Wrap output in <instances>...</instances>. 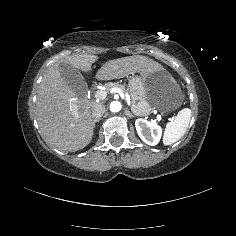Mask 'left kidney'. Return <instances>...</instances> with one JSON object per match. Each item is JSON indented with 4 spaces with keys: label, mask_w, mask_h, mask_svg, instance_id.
<instances>
[{
    "label": "left kidney",
    "mask_w": 236,
    "mask_h": 236,
    "mask_svg": "<svg viewBox=\"0 0 236 236\" xmlns=\"http://www.w3.org/2000/svg\"><path fill=\"white\" fill-rule=\"evenodd\" d=\"M135 127L141 140L147 145L155 146L159 143L162 129L159 125L139 118L135 121Z\"/></svg>",
    "instance_id": "1"
}]
</instances>
